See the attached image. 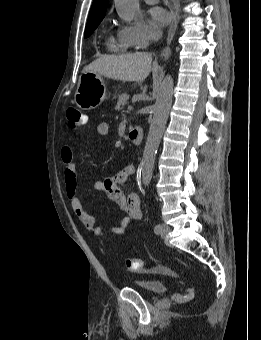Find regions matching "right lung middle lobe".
Here are the masks:
<instances>
[{"instance_id": "dd1d6c3e", "label": "right lung middle lobe", "mask_w": 261, "mask_h": 340, "mask_svg": "<svg viewBox=\"0 0 261 340\" xmlns=\"http://www.w3.org/2000/svg\"><path fill=\"white\" fill-rule=\"evenodd\" d=\"M102 21V19L93 21L91 23H88L85 28V38L89 37L93 31L98 27L99 23Z\"/></svg>"}]
</instances>
